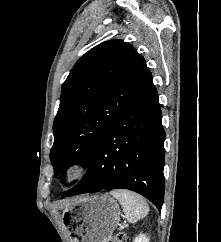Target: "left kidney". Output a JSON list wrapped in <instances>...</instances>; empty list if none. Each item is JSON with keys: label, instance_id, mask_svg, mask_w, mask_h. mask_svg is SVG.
Listing matches in <instances>:
<instances>
[{"label": "left kidney", "instance_id": "left-kidney-1", "mask_svg": "<svg viewBox=\"0 0 221 242\" xmlns=\"http://www.w3.org/2000/svg\"><path fill=\"white\" fill-rule=\"evenodd\" d=\"M133 242H149V239L147 238V236L145 234H140L137 237H135Z\"/></svg>", "mask_w": 221, "mask_h": 242}]
</instances>
